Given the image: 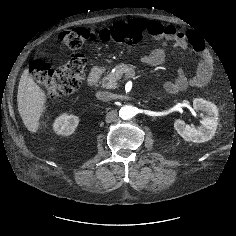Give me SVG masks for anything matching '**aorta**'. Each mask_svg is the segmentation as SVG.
<instances>
[{"label": "aorta", "instance_id": "aorta-1", "mask_svg": "<svg viewBox=\"0 0 236 236\" xmlns=\"http://www.w3.org/2000/svg\"><path fill=\"white\" fill-rule=\"evenodd\" d=\"M136 114V109L135 107L131 106V105H123L120 108L119 111V116L123 119V120H129L132 117H134Z\"/></svg>", "mask_w": 236, "mask_h": 236}]
</instances>
